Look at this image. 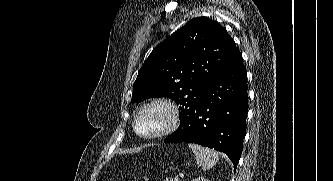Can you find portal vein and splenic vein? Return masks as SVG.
<instances>
[{
	"instance_id": "1",
	"label": "portal vein and splenic vein",
	"mask_w": 333,
	"mask_h": 181,
	"mask_svg": "<svg viewBox=\"0 0 333 181\" xmlns=\"http://www.w3.org/2000/svg\"><path fill=\"white\" fill-rule=\"evenodd\" d=\"M180 180V178L178 177V176H176L175 178H174V181H179Z\"/></svg>"
}]
</instances>
